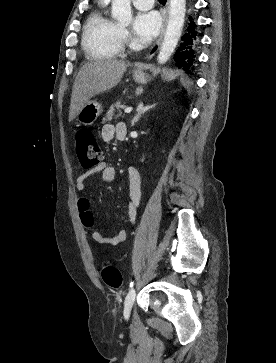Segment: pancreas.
Wrapping results in <instances>:
<instances>
[{"label": "pancreas", "instance_id": "obj_1", "mask_svg": "<svg viewBox=\"0 0 276 363\" xmlns=\"http://www.w3.org/2000/svg\"><path fill=\"white\" fill-rule=\"evenodd\" d=\"M121 107H123L121 102H117V103L111 105L110 109L106 113V117L103 118V123H105L106 121H110L112 119V117L114 116L115 109L119 110ZM118 116H120V114Z\"/></svg>", "mask_w": 276, "mask_h": 363}]
</instances>
